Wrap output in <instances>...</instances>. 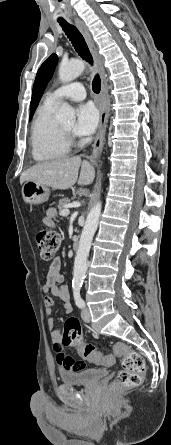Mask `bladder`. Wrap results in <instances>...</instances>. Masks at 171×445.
<instances>
[{"instance_id": "obj_1", "label": "bladder", "mask_w": 171, "mask_h": 445, "mask_svg": "<svg viewBox=\"0 0 171 445\" xmlns=\"http://www.w3.org/2000/svg\"><path fill=\"white\" fill-rule=\"evenodd\" d=\"M108 375V369L85 368L76 371H62L61 380L66 385H93Z\"/></svg>"}]
</instances>
